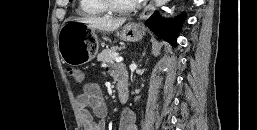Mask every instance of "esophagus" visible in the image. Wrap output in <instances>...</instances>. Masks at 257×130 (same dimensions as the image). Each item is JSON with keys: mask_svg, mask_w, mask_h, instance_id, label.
<instances>
[{"mask_svg": "<svg viewBox=\"0 0 257 130\" xmlns=\"http://www.w3.org/2000/svg\"><path fill=\"white\" fill-rule=\"evenodd\" d=\"M155 6H154V0H151L149 4L146 6L144 11L140 15V19L144 20L147 19L154 11Z\"/></svg>", "mask_w": 257, "mask_h": 130, "instance_id": "obj_1", "label": "esophagus"}]
</instances>
